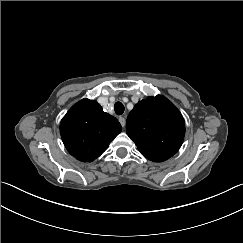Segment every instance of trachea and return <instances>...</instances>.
Here are the masks:
<instances>
[{
	"label": "trachea",
	"instance_id": "trachea-1",
	"mask_svg": "<svg viewBox=\"0 0 243 243\" xmlns=\"http://www.w3.org/2000/svg\"><path fill=\"white\" fill-rule=\"evenodd\" d=\"M114 110H115V113L117 115H122L123 112H124V110H125V107H124L123 103H121V102L118 101L114 105Z\"/></svg>",
	"mask_w": 243,
	"mask_h": 243
}]
</instances>
